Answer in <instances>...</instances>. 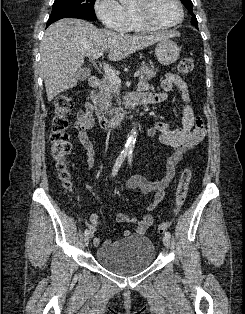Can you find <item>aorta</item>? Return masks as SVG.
<instances>
[{"instance_id":"aorta-1","label":"aorta","mask_w":245,"mask_h":314,"mask_svg":"<svg viewBox=\"0 0 245 314\" xmlns=\"http://www.w3.org/2000/svg\"><path fill=\"white\" fill-rule=\"evenodd\" d=\"M127 0H119L121 3H125ZM136 137H137V130L134 127L130 134L128 135L127 142L125 144L124 153L127 155H131L133 153L135 143H136Z\"/></svg>"}]
</instances>
